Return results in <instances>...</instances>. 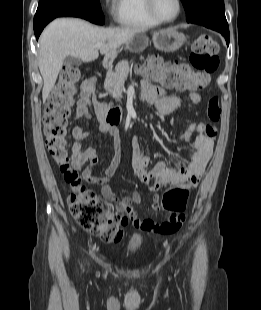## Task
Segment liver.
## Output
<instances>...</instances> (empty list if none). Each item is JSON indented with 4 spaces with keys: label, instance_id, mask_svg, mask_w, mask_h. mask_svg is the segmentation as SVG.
Segmentation results:
<instances>
[{
    "label": "liver",
    "instance_id": "liver-1",
    "mask_svg": "<svg viewBox=\"0 0 261 310\" xmlns=\"http://www.w3.org/2000/svg\"><path fill=\"white\" fill-rule=\"evenodd\" d=\"M142 32L137 28H101L76 18L52 21L39 39L38 65L43 78V101L54 87L66 56H74L84 62L94 61L99 57L96 44L102 43L100 53L108 57Z\"/></svg>",
    "mask_w": 261,
    "mask_h": 310
}]
</instances>
